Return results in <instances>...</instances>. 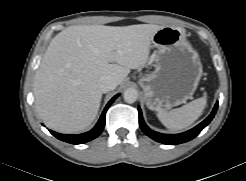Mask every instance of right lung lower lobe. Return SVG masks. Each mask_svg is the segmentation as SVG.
<instances>
[{
    "mask_svg": "<svg viewBox=\"0 0 246 181\" xmlns=\"http://www.w3.org/2000/svg\"><path fill=\"white\" fill-rule=\"evenodd\" d=\"M119 96L118 95H115L110 101L109 103L106 105L98 123L96 124V126L86 132V133H83V134H78V135H65V134H60V133H57V132H54L52 130H49L50 133L52 135H54L56 138L62 140V141H65V142H68V143H71V144H83V143H86L88 141H91L93 140L94 138H96L103 130L104 128V125H105V115H106V111L107 109L109 108V106L113 103V101Z\"/></svg>",
    "mask_w": 246,
    "mask_h": 181,
    "instance_id": "1",
    "label": "right lung lower lobe"
}]
</instances>
